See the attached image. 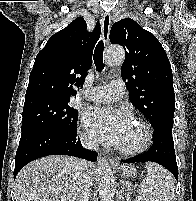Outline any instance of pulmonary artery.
I'll use <instances>...</instances> for the list:
<instances>
[{
  "label": "pulmonary artery",
  "mask_w": 196,
  "mask_h": 201,
  "mask_svg": "<svg viewBox=\"0 0 196 201\" xmlns=\"http://www.w3.org/2000/svg\"><path fill=\"white\" fill-rule=\"evenodd\" d=\"M125 85L122 80H113L109 84L93 87L85 93L86 97L96 102H114L123 97Z\"/></svg>",
  "instance_id": "1"
}]
</instances>
